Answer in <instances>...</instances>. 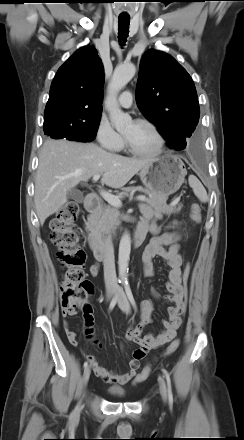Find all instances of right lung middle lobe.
I'll list each match as a JSON object with an SVG mask.
<instances>
[{"mask_svg":"<svg viewBox=\"0 0 244 440\" xmlns=\"http://www.w3.org/2000/svg\"><path fill=\"white\" fill-rule=\"evenodd\" d=\"M100 120L87 124L72 121H44V134L53 139L65 138L71 141L90 142L96 137Z\"/></svg>","mask_w":244,"mask_h":440,"instance_id":"obj_1","label":"right lung middle lobe"}]
</instances>
